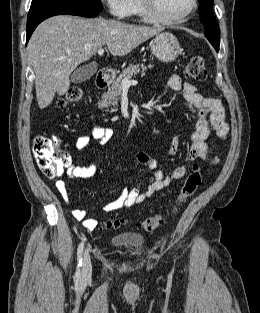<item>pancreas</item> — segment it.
<instances>
[{"mask_svg":"<svg viewBox=\"0 0 260 313\" xmlns=\"http://www.w3.org/2000/svg\"><path fill=\"white\" fill-rule=\"evenodd\" d=\"M148 67L151 68L152 66L149 65ZM140 68L142 69V75H144L145 71L147 70V67L144 65H129L127 69H124L119 77H117V79L112 82V85L108 88L107 92L102 95L98 106L100 108H106L107 110L111 108V112L116 111L122 91V81L126 79L129 80L133 76L138 75Z\"/></svg>","mask_w":260,"mask_h":313,"instance_id":"obj_1","label":"pancreas"}]
</instances>
